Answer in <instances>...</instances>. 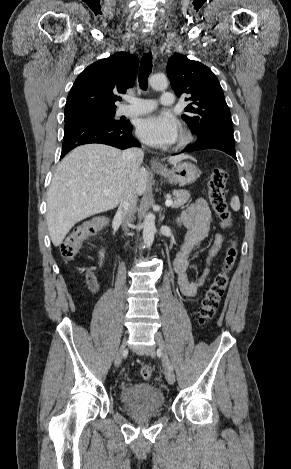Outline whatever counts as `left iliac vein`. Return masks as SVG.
<instances>
[{"instance_id":"left-iliac-vein-1","label":"left iliac vein","mask_w":291,"mask_h":469,"mask_svg":"<svg viewBox=\"0 0 291 469\" xmlns=\"http://www.w3.org/2000/svg\"><path fill=\"white\" fill-rule=\"evenodd\" d=\"M155 340L157 342L160 355L162 356L164 361L165 378L169 384H173L175 382V374L168 362L166 345L160 332H157L155 334ZM152 354H154V352H152Z\"/></svg>"}]
</instances>
